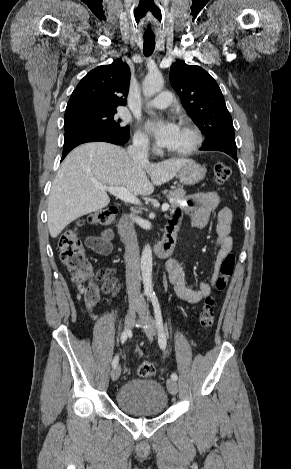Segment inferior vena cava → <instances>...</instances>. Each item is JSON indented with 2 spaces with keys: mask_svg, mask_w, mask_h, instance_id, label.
Instances as JSON below:
<instances>
[{
  "mask_svg": "<svg viewBox=\"0 0 291 469\" xmlns=\"http://www.w3.org/2000/svg\"><path fill=\"white\" fill-rule=\"evenodd\" d=\"M148 149L147 140L136 137L133 139V144L128 146L127 153L135 161L148 162ZM125 263L129 305L131 307L144 306V301L140 294L141 275L139 246L132 222H128L126 227Z\"/></svg>",
  "mask_w": 291,
  "mask_h": 469,
  "instance_id": "obj_1",
  "label": "inferior vena cava"
}]
</instances>
